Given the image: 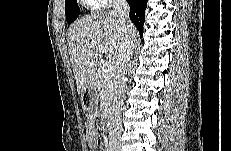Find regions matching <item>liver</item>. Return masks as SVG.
<instances>
[{
	"mask_svg": "<svg viewBox=\"0 0 231 151\" xmlns=\"http://www.w3.org/2000/svg\"><path fill=\"white\" fill-rule=\"evenodd\" d=\"M132 29L136 41V28L133 24ZM125 41L113 11L91 13L69 28L67 44L78 94H82L95 78L98 56L102 53L98 45L107 49L105 57L116 70Z\"/></svg>",
	"mask_w": 231,
	"mask_h": 151,
	"instance_id": "obj_1",
	"label": "liver"
}]
</instances>
